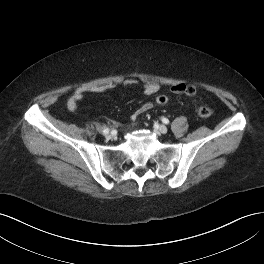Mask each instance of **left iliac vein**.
Returning <instances> with one entry per match:
<instances>
[{
  "instance_id": "obj_1",
  "label": "left iliac vein",
  "mask_w": 264,
  "mask_h": 264,
  "mask_svg": "<svg viewBox=\"0 0 264 264\" xmlns=\"http://www.w3.org/2000/svg\"><path fill=\"white\" fill-rule=\"evenodd\" d=\"M158 132L162 133V134H166L168 129L165 125H160L158 128H157Z\"/></svg>"
}]
</instances>
